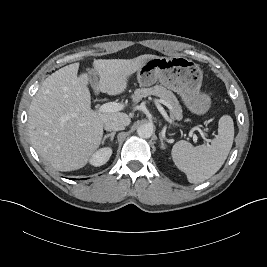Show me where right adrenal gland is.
<instances>
[{"mask_svg": "<svg viewBox=\"0 0 267 267\" xmlns=\"http://www.w3.org/2000/svg\"><path fill=\"white\" fill-rule=\"evenodd\" d=\"M115 134H116V132H111V133L106 134L102 139V145L104 144L105 140L109 137H110V141L112 142Z\"/></svg>", "mask_w": 267, "mask_h": 267, "instance_id": "2a0ac1e0", "label": "right adrenal gland"}]
</instances>
